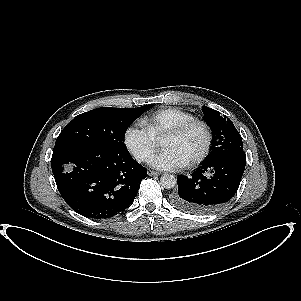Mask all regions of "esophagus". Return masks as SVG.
Returning a JSON list of instances; mask_svg holds the SVG:
<instances>
[{
    "label": "esophagus",
    "instance_id": "obj_1",
    "mask_svg": "<svg viewBox=\"0 0 301 301\" xmlns=\"http://www.w3.org/2000/svg\"><path fill=\"white\" fill-rule=\"evenodd\" d=\"M148 175H149V176H158V175H160V173H159V172L152 171V170H149V171H148Z\"/></svg>",
    "mask_w": 301,
    "mask_h": 301
}]
</instances>
